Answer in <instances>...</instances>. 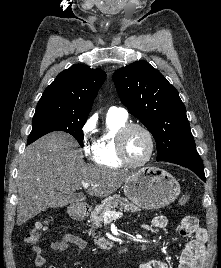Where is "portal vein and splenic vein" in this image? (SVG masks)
I'll use <instances>...</instances> for the list:
<instances>
[{"label": "portal vein and splenic vein", "instance_id": "1", "mask_svg": "<svg viewBox=\"0 0 221 268\" xmlns=\"http://www.w3.org/2000/svg\"><path fill=\"white\" fill-rule=\"evenodd\" d=\"M83 187L85 189L89 188L90 187V184L89 183H83ZM123 213L118 211H111V210H106L104 213H103V218L104 219H116V218H120L122 217Z\"/></svg>", "mask_w": 221, "mask_h": 268}]
</instances>
